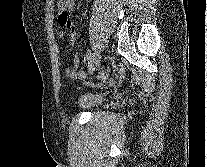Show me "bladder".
<instances>
[{
  "label": "bladder",
  "instance_id": "bladder-1",
  "mask_svg": "<svg viewBox=\"0 0 207 167\" xmlns=\"http://www.w3.org/2000/svg\"><path fill=\"white\" fill-rule=\"evenodd\" d=\"M105 98V95L101 92H87L75 101V106L82 110L93 109L100 106Z\"/></svg>",
  "mask_w": 207,
  "mask_h": 167
}]
</instances>
